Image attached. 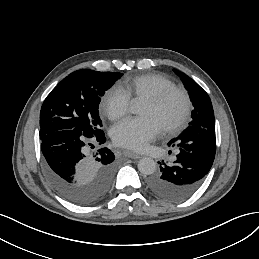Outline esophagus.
Wrapping results in <instances>:
<instances>
[{"mask_svg": "<svg viewBox=\"0 0 259 259\" xmlns=\"http://www.w3.org/2000/svg\"><path fill=\"white\" fill-rule=\"evenodd\" d=\"M126 155H127V157H129L131 159H139V158H141V156L139 154L134 153L132 151H127Z\"/></svg>", "mask_w": 259, "mask_h": 259, "instance_id": "34e87169", "label": "esophagus"}]
</instances>
